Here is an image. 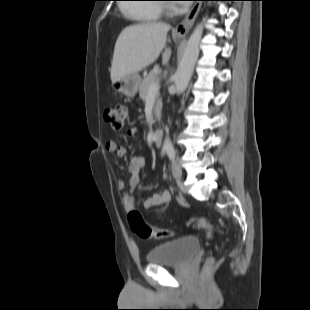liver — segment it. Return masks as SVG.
<instances>
[{
    "instance_id": "obj_1",
    "label": "liver",
    "mask_w": 310,
    "mask_h": 310,
    "mask_svg": "<svg viewBox=\"0 0 310 310\" xmlns=\"http://www.w3.org/2000/svg\"><path fill=\"white\" fill-rule=\"evenodd\" d=\"M170 25L142 23L126 27L120 33L114 48L110 70L112 82L127 75H137L159 57L165 47ZM169 49L163 54V62L169 60Z\"/></svg>"
}]
</instances>
